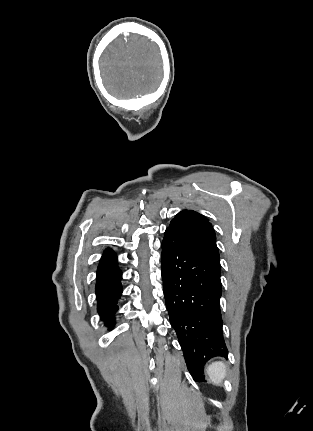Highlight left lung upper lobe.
I'll return each instance as SVG.
<instances>
[{"label":"left lung upper lobe","mask_w":313,"mask_h":431,"mask_svg":"<svg viewBox=\"0 0 313 431\" xmlns=\"http://www.w3.org/2000/svg\"><path fill=\"white\" fill-rule=\"evenodd\" d=\"M166 230L175 233L184 243L220 264L214 229L202 214L183 210L171 220Z\"/></svg>","instance_id":"5c2ea615"}]
</instances>
